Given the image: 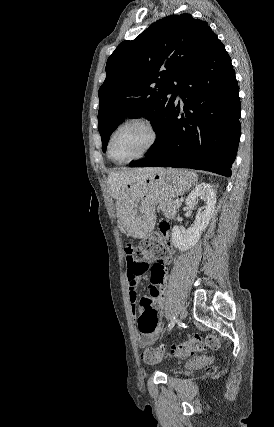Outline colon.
<instances>
[{"label":"colon","mask_w":274,"mask_h":427,"mask_svg":"<svg viewBox=\"0 0 274 427\" xmlns=\"http://www.w3.org/2000/svg\"><path fill=\"white\" fill-rule=\"evenodd\" d=\"M132 251L135 255V265H140L142 261H148L156 257L157 253H167L161 246V237L158 232H153L144 238ZM218 348L219 342L213 335L202 338L200 334H194L184 342L172 346V355L178 358L188 359L204 347ZM164 352L156 347H145L140 351V358L143 364H157L158 358H163ZM209 374L215 376L218 371L215 367L210 368Z\"/></svg>","instance_id":"colon-1"}]
</instances>
